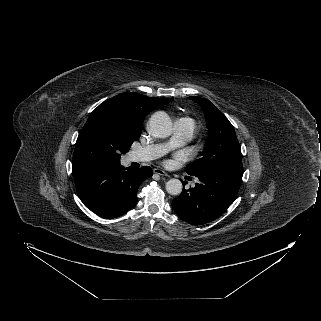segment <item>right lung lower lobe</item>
<instances>
[{"label":"right lung lower lobe","mask_w":321,"mask_h":321,"mask_svg":"<svg viewBox=\"0 0 321 321\" xmlns=\"http://www.w3.org/2000/svg\"><path fill=\"white\" fill-rule=\"evenodd\" d=\"M72 171L81 201L104 218L118 217L134 207L138 187L153 174L149 166L128 169L120 163Z\"/></svg>","instance_id":"1"}]
</instances>
